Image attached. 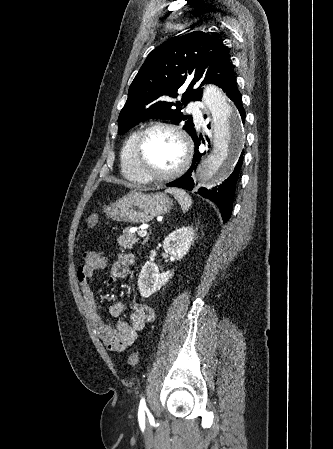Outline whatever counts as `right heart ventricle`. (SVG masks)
<instances>
[{
	"label": "right heart ventricle",
	"instance_id": "e07e8e85",
	"mask_svg": "<svg viewBox=\"0 0 333 449\" xmlns=\"http://www.w3.org/2000/svg\"><path fill=\"white\" fill-rule=\"evenodd\" d=\"M139 132V130L133 131L125 140L121 149V168L123 175L127 179L137 182H146L136 171L133 161L134 144Z\"/></svg>",
	"mask_w": 333,
	"mask_h": 449
}]
</instances>
